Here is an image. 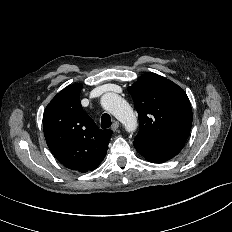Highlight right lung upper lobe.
<instances>
[{
  "label": "right lung upper lobe",
  "mask_w": 232,
  "mask_h": 232,
  "mask_svg": "<svg viewBox=\"0 0 232 232\" xmlns=\"http://www.w3.org/2000/svg\"><path fill=\"white\" fill-rule=\"evenodd\" d=\"M81 84L70 85L47 105L44 136L52 154L67 168L94 170L106 156L111 130H100L80 103Z\"/></svg>",
  "instance_id": "right-lung-upper-lobe-1"
}]
</instances>
